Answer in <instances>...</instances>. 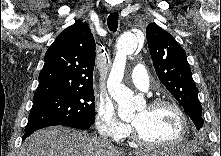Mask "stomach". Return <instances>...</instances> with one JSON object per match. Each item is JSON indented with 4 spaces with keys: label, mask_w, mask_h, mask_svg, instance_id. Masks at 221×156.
Segmentation results:
<instances>
[{
    "label": "stomach",
    "mask_w": 221,
    "mask_h": 156,
    "mask_svg": "<svg viewBox=\"0 0 221 156\" xmlns=\"http://www.w3.org/2000/svg\"><path fill=\"white\" fill-rule=\"evenodd\" d=\"M185 146L171 148L162 151L158 156H192L190 151L184 149Z\"/></svg>",
    "instance_id": "1"
}]
</instances>
